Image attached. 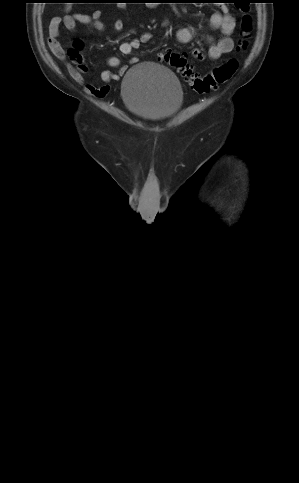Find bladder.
<instances>
[{"mask_svg":"<svg viewBox=\"0 0 299 483\" xmlns=\"http://www.w3.org/2000/svg\"><path fill=\"white\" fill-rule=\"evenodd\" d=\"M121 96L131 112L148 121L172 117L181 108L184 99L175 74L152 62H142L125 73Z\"/></svg>","mask_w":299,"mask_h":483,"instance_id":"obj_1","label":"bladder"}]
</instances>
